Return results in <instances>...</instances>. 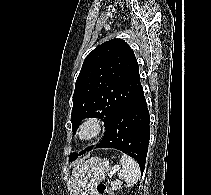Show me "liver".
<instances>
[{
	"label": "liver",
	"mask_w": 211,
	"mask_h": 195,
	"mask_svg": "<svg viewBox=\"0 0 211 195\" xmlns=\"http://www.w3.org/2000/svg\"><path fill=\"white\" fill-rule=\"evenodd\" d=\"M93 158L87 160L86 162H77V165L72 171V188H73V194L72 195H79V192L82 187L83 183V176L87 169V164L91 162Z\"/></svg>",
	"instance_id": "6515ba94"
}]
</instances>
